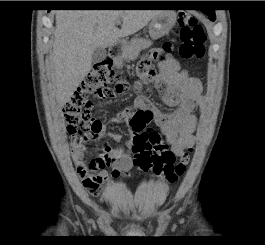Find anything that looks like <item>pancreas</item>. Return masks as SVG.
Returning a JSON list of instances; mask_svg holds the SVG:
<instances>
[{
    "instance_id": "pancreas-1",
    "label": "pancreas",
    "mask_w": 265,
    "mask_h": 245,
    "mask_svg": "<svg viewBox=\"0 0 265 245\" xmlns=\"http://www.w3.org/2000/svg\"><path fill=\"white\" fill-rule=\"evenodd\" d=\"M151 44L149 40H132L126 46L123 58L115 61V66L120 68L123 66L124 60H134L142 49L148 48Z\"/></svg>"
}]
</instances>
